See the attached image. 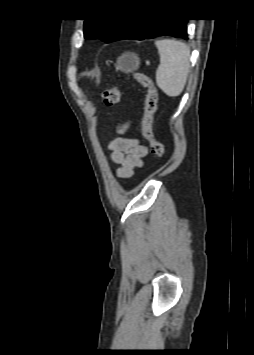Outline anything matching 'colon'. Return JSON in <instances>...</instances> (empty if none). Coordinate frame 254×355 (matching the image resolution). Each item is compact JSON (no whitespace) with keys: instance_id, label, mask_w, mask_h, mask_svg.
<instances>
[{"instance_id":"obj_1","label":"colon","mask_w":254,"mask_h":355,"mask_svg":"<svg viewBox=\"0 0 254 355\" xmlns=\"http://www.w3.org/2000/svg\"><path fill=\"white\" fill-rule=\"evenodd\" d=\"M133 78L146 88L145 107L142 120V135L149 143L152 153L158 157L163 158L165 155V147L162 142L154 137L153 124L154 117L157 111L158 92L153 81L142 73H134ZM102 100L106 106H115L121 100V88L118 84L106 89L102 93Z\"/></svg>"}]
</instances>
